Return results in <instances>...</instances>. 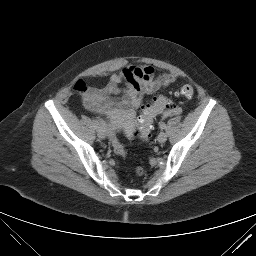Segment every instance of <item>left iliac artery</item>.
Wrapping results in <instances>:
<instances>
[{
  "mask_svg": "<svg viewBox=\"0 0 256 256\" xmlns=\"http://www.w3.org/2000/svg\"><path fill=\"white\" fill-rule=\"evenodd\" d=\"M160 128H161L162 130L165 129V128H166L165 123H160Z\"/></svg>",
  "mask_w": 256,
  "mask_h": 256,
  "instance_id": "1",
  "label": "left iliac artery"
}]
</instances>
